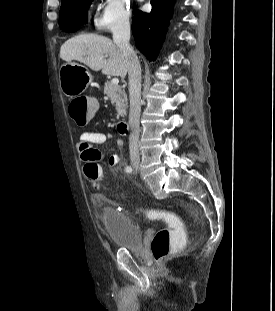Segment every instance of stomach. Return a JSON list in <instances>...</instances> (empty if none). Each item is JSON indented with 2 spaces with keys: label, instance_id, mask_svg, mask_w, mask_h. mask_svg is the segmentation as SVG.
<instances>
[{
  "label": "stomach",
  "instance_id": "1",
  "mask_svg": "<svg viewBox=\"0 0 275 311\" xmlns=\"http://www.w3.org/2000/svg\"><path fill=\"white\" fill-rule=\"evenodd\" d=\"M91 82L92 75L80 64L67 62L59 69L60 88L68 97L81 95Z\"/></svg>",
  "mask_w": 275,
  "mask_h": 311
}]
</instances>
